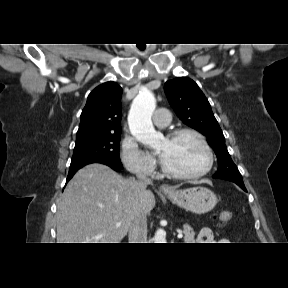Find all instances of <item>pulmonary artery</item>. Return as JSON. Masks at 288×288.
Returning a JSON list of instances; mask_svg holds the SVG:
<instances>
[{
	"mask_svg": "<svg viewBox=\"0 0 288 288\" xmlns=\"http://www.w3.org/2000/svg\"><path fill=\"white\" fill-rule=\"evenodd\" d=\"M171 120V114L168 110L160 108L156 110V113L153 118V122L157 127H165L169 124Z\"/></svg>",
	"mask_w": 288,
	"mask_h": 288,
	"instance_id": "obj_1",
	"label": "pulmonary artery"
}]
</instances>
